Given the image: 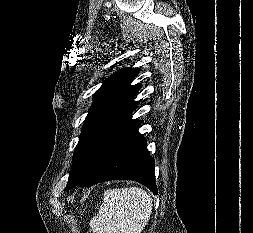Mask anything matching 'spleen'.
Returning <instances> with one entry per match:
<instances>
[{"label": "spleen", "mask_w": 253, "mask_h": 233, "mask_svg": "<svg viewBox=\"0 0 253 233\" xmlns=\"http://www.w3.org/2000/svg\"><path fill=\"white\" fill-rule=\"evenodd\" d=\"M152 206L151 195L142 188L108 189L90 227L97 233H141Z\"/></svg>", "instance_id": "spleen-1"}]
</instances>
